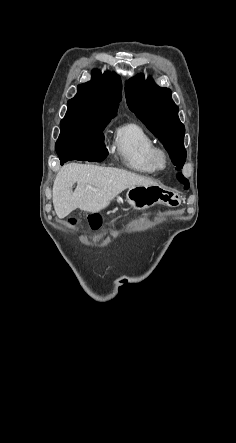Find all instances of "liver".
I'll return each mask as SVG.
<instances>
[{
  "label": "liver",
  "mask_w": 236,
  "mask_h": 443,
  "mask_svg": "<svg viewBox=\"0 0 236 443\" xmlns=\"http://www.w3.org/2000/svg\"><path fill=\"white\" fill-rule=\"evenodd\" d=\"M75 183L77 187L73 192ZM153 185L158 184L126 170L71 163L58 172L53 185L52 200L57 216L65 218L77 208L98 213L125 189Z\"/></svg>",
  "instance_id": "obj_1"
}]
</instances>
